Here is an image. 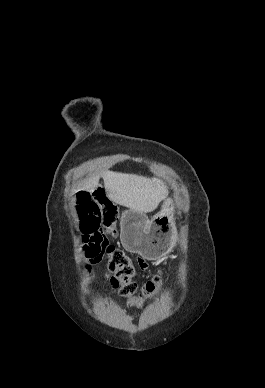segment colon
Returning <instances> with one entry per match:
<instances>
[{"instance_id": "colon-1", "label": "colon", "mask_w": 265, "mask_h": 388, "mask_svg": "<svg viewBox=\"0 0 265 388\" xmlns=\"http://www.w3.org/2000/svg\"><path fill=\"white\" fill-rule=\"evenodd\" d=\"M82 231L84 256L89 264L107 260L112 272V285L131 306L139 307L152 299L162 287L163 279L157 274L138 293L134 281L136 267L122 250L110 244L109 238L116 233V207L102 188L93 192L83 191L76 200ZM88 269L90 265L87 266Z\"/></svg>"}]
</instances>
